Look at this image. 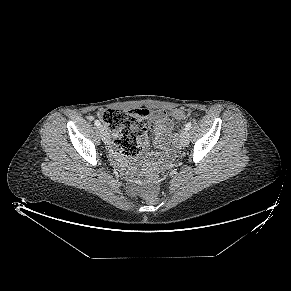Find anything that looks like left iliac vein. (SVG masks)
Instances as JSON below:
<instances>
[{"instance_id":"1","label":"left iliac vein","mask_w":291,"mask_h":291,"mask_svg":"<svg viewBox=\"0 0 291 291\" xmlns=\"http://www.w3.org/2000/svg\"><path fill=\"white\" fill-rule=\"evenodd\" d=\"M179 138H180V140H179L180 145L183 147L187 146V144L189 142V134L185 129L181 131Z\"/></svg>"}]
</instances>
